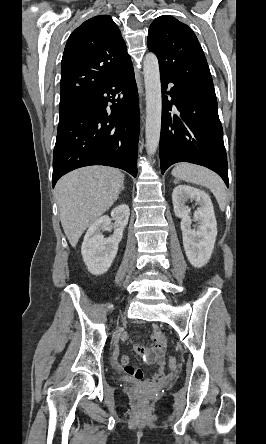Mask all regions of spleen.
Masks as SVG:
<instances>
[{
    "label": "spleen",
    "instance_id": "spleen-1",
    "mask_svg": "<svg viewBox=\"0 0 266 444\" xmlns=\"http://www.w3.org/2000/svg\"><path fill=\"white\" fill-rule=\"evenodd\" d=\"M172 175L179 180L207 187L217 199L222 211L226 207V189L222 179L211 170L189 163H179L172 169Z\"/></svg>",
    "mask_w": 266,
    "mask_h": 444
}]
</instances>
